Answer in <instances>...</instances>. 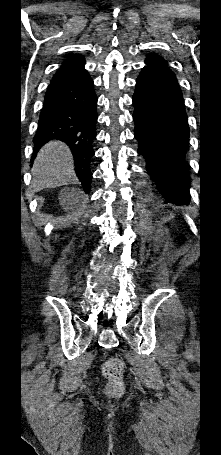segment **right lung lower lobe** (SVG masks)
I'll return each instance as SVG.
<instances>
[{"label":"right lung lower lobe","mask_w":221,"mask_h":455,"mask_svg":"<svg viewBox=\"0 0 221 455\" xmlns=\"http://www.w3.org/2000/svg\"><path fill=\"white\" fill-rule=\"evenodd\" d=\"M82 55L70 56L54 75L46 92L34 136L32 161L50 140L65 142L74 158L75 172L86 192L90 191V160L96 137L97 97L93 80L84 68Z\"/></svg>","instance_id":"1"}]
</instances>
